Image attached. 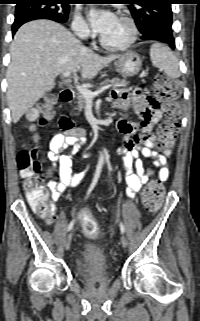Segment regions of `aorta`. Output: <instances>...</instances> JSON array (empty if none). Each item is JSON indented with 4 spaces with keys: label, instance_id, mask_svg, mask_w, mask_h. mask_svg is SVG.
Segmentation results:
<instances>
[{
    "label": "aorta",
    "instance_id": "aorta-1",
    "mask_svg": "<svg viewBox=\"0 0 200 321\" xmlns=\"http://www.w3.org/2000/svg\"><path fill=\"white\" fill-rule=\"evenodd\" d=\"M104 160H105L104 153L101 152V153H100V156H99V163H104Z\"/></svg>",
    "mask_w": 200,
    "mask_h": 321
}]
</instances>
